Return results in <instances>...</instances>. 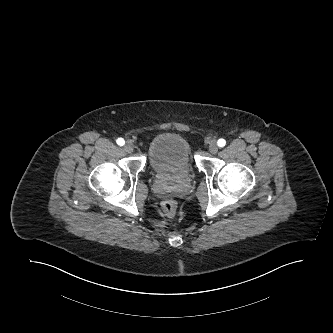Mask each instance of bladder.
Masks as SVG:
<instances>
[{
    "instance_id": "bladder-1",
    "label": "bladder",
    "mask_w": 333,
    "mask_h": 333,
    "mask_svg": "<svg viewBox=\"0 0 333 333\" xmlns=\"http://www.w3.org/2000/svg\"><path fill=\"white\" fill-rule=\"evenodd\" d=\"M148 163L155 175L189 174L193 169L190 145L181 135L161 133L150 143Z\"/></svg>"
}]
</instances>
